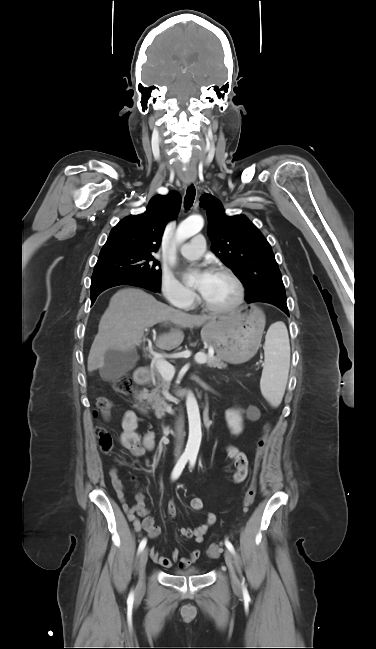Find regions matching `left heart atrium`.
<instances>
[{"label":"left heart atrium","mask_w":376,"mask_h":649,"mask_svg":"<svg viewBox=\"0 0 376 649\" xmlns=\"http://www.w3.org/2000/svg\"><path fill=\"white\" fill-rule=\"evenodd\" d=\"M198 289L201 291L212 277V272L207 268H201L195 272Z\"/></svg>","instance_id":"1"}]
</instances>
